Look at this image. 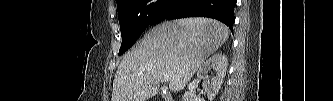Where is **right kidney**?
Returning <instances> with one entry per match:
<instances>
[{"label":"right kidney","instance_id":"obj_1","mask_svg":"<svg viewBox=\"0 0 333 101\" xmlns=\"http://www.w3.org/2000/svg\"><path fill=\"white\" fill-rule=\"evenodd\" d=\"M227 58L222 53H216L210 57L197 72V77L203 80L202 86L209 101H213L215 96L218 94L223 79L226 75L227 70ZM215 70V75L212 77L208 76L209 71ZM196 96L192 91H188L184 94L183 101H196Z\"/></svg>","mask_w":333,"mask_h":101}]
</instances>
